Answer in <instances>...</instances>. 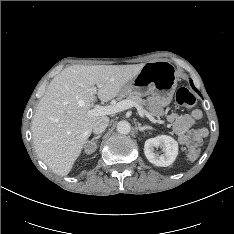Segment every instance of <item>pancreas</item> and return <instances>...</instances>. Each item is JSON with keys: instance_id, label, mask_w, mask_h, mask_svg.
Masks as SVG:
<instances>
[{"instance_id": "1", "label": "pancreas", "mask_w": 234, "mask_h": 234, "mask_svg": "<svg viewBox=\"0 0 234 234\" xmlns=\"http://www.w3.org/2000/svg\"><path fill=\"white\" fill-rule=\"evenodd\" d=\"M119 98H122V96H119ZM126 100L132 101L139 106H141L146 112H149L151 108L149 107V104L147 100L142 99L140 96L137 95H129Z\"/></svg>"}]
</instances>
